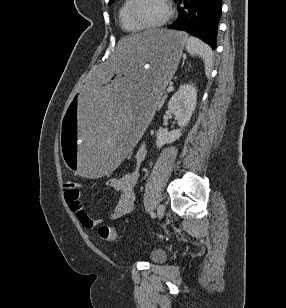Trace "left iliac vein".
Instances as JSON below:
<instances>
[{
	"label": "left iliac vein",
	"instance_id": "1",
	"mask_svg": "<svg viewBox=\"0 0 286 308\" xmlns=\"http://www.w3.org/2000/svg\"><path fill=\"white\" fill-rule=\"evenodd\" d=\"M165 213V206L164 204H159L157 207V215L159 218H162L164 216Z\"/></svg>",
	"mask_w": 286,
	"mask_h": 308
}]
</instances>
